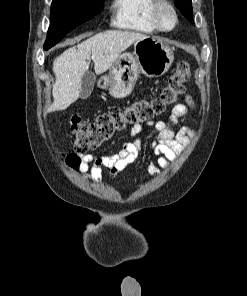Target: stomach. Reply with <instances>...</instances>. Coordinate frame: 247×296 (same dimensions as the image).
I'll return each mask as SVG.
<instances>
[{
	"instance_id": "1",
	"label": "stomach",
	"mask_w": 247,
	"mask_h": 296,
	"mask_svg": "<svg viewBox=\"0 0 247 296\" xmlns=\"http://www.w3.org/2000/svg\"><path fill=\"white\" fill-rule=\"evenodd\" d=\"M174 61V50L156 37H148L134 43L133 53H123L98 79V87L109 91L115 98L128 96L139 77L164 75Z\"/></svg>"
}]
</instances>
